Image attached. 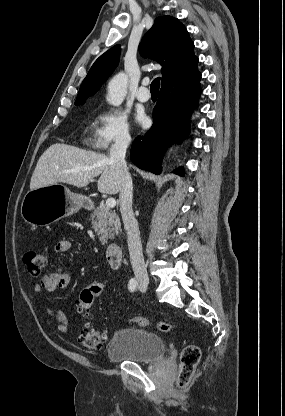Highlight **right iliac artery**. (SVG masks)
<instances>
[{
    "label": "right iliac artery",
    "instance_id": "1",
    "mask_svg": "<svg viewBox=\"0 0 285 416\" xmlns=\"http://www.w3.org/2000/svg\"><path fill=\"white\" fill-rule=\"evenodd\" d=\"M138 287V281L136 278H131L128 283V289L130 292H134Z\"/></svg>",
    "mask_w": 285,
    "mask_h": 416
}]
</instances>
